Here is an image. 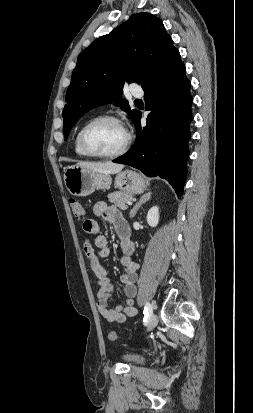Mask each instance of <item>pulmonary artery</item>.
<instances>
[{
  "label": "pulmonary artery",
  "instance_id": "pulmonary-artery-1",
  "mask_svg": "<svg viewBox=\"0 0 253 413\" xmlns=\"http://www.w3.org/2000/svg\"><path fill=\"white\" fill-rule=\"evenodd\" d=\"M131 94L134 97H142L143 96V90L138 86H133L131 88Z\"/></svg>",
  "mask_w": 253,
  "mask_h": 413
}]
</instances>
